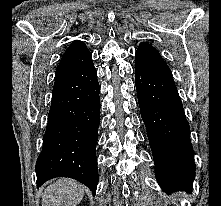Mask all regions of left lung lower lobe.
<instances>
[{"label":"left lung lower lobe","instance_id":"obj_1","mask_svg":"<svg viewBox=\"0 0 221 206\" xmlns=\"http://www.w3.org/2000/svg\"><path fill=\"white\" fill-rule=\"evenodd\" d=\"M143 122L164 191H192L195 178L190 127L172 76L135 71Z\"/></svg>","mask_w":221,"mask_h":206}]
</instances>
